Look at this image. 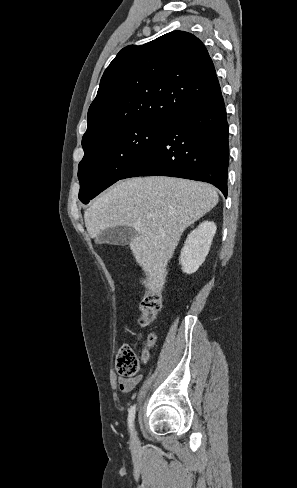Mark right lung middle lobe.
I'll use <instances>...</instances> for the list:
<instances>
[{
  "label": "right lung middle lobe",
  "instance_id": "obj_1",
  "mask_svg": "<svg viewBox=\"0 0 297 488\" xmlns=\"http://www.w3.org/2000/svg\"><path fill=\"white\" fill-rule=\"evenodd\" d=\"M168 121H144L113 131L84 150L78 167L79 199L87 204L118 181L152 147Z\"/></svg>",
  "mask_w": 297,
  "mask_h": 488
}]
</instances>
